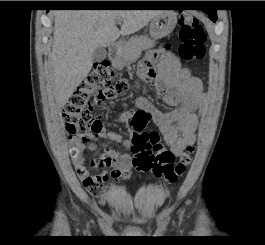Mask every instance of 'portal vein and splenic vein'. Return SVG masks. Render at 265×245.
Listing matches in <instances>:
<instances>
[{"mask_svg":"<svg viewBox=\"0 0 265 245\" xmlns=\"http://www.w3.org/2000/svg\"><path fill=\"white\" fill-rule=\"evenodd\" d=\"M121 22H122L121 20H118V21H117V24H121Z\"/></svg>","mask_w":265,"mask_h":245,"instance_id":"portal-vein-and-splenic-vein-1","label":"portal vein and splenic vein"}]
</instances>
